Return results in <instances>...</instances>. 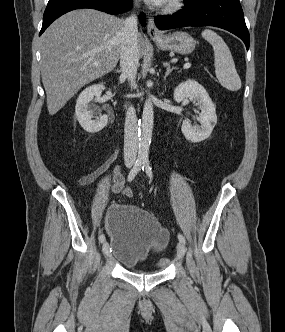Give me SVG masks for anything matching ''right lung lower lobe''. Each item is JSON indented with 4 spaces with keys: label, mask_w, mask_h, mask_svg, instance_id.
I'll return each mask as SVG.
<instances>
[{
    "label": "right lung lower lobe",
    "mask_w": 285,
    "mask_h": 332,
    "mask_svg": "<svg viewBox=\"0 0 285 332\" xmlns=\"http://www.w3.org/2000/svg\"><path fill=\"white\" fill-rule=\"evenodd\" d=\"M132 0H49L43 16L41 35L46 28L61 15L80 8H92L109 14L123 13L131 8ZM140 22L145 26V15L139 16Z\"/></svg>",
    "instance_id": "right-lung-lower-lobe-1"
}]
</instances>
